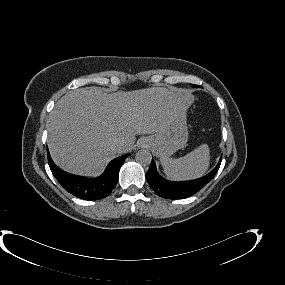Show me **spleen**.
Segmentation results:
<instances>
[{"mask_svg":"<svg viewBox=\"0 0 285 285\" xmlns=\"http://www.w3.org/2000/svg\"><path fill=\"white\" fill-rule=\"evenodd\" d=\"M165 175L172 180L184 181L203 176L210 166V150L207 144L180 158L160 159Z\"/></svg>","mask_w":285,"mask_h":285,"instance_id":"3e777b00","label":"spleen"}]
</instances>
